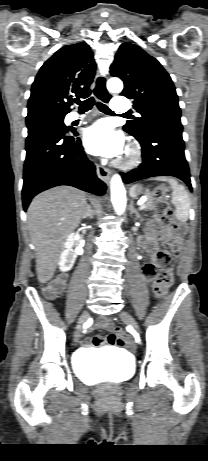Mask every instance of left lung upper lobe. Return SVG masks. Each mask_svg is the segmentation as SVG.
Wrapping results in <instances>:
<instances>
[{
    "label": "left lung upper lobe",
    "mask_w": 208,
    "mask_h": 461,
    "mask_svg": "<svg viewBox=\"0 0 208 461\" xmlns=\"http://www.w3.org/2000/svg\"><path fill=\"white\" fill-rule=\"evenodd\" d=\"M110 72L124 82L121 95L134 99L133 107L141 114L128 121L124 131L139 138L155 124H181V110L171 77L157 59L138 45L123 43Z\"/></svg>",
    "instance_id": "5c2ea615"
}]
</instances>
